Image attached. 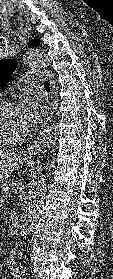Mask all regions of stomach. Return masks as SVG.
<instances>
[{
    "label": "stomach",
    "instance_id": "0dacf381",
    "mask_svg": "<svg viewBox=\"0 0 113 279\" xmlns=\"http://www.w3.org/2000/svg\"><path fill=\"white\" fill-rule=\"evenodd\" d=\"M34 162L33 156L21 154L16 156L13 160L0 161V183L3 182L13 170H15L19 164L31 165Z\"/></svg>",
    "mask_w": 113,
    "mask_h": 279
}]
</instances>
